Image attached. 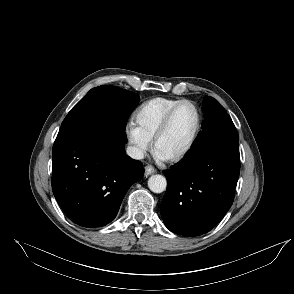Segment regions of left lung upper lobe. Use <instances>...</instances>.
Returning <instances> with one entry per match:
<instances>
[{"mask_svg":"<svg viewBox=\"0 0 294 294\" xmlns=\"http://www.w3.org/2000/svg\"><path fill=\"white\" fill-rule=\"evenodd\" d=\"M202 111L206 120L202 130L222 126H234L231 117L227 114L223 106L213 97H206L203 101Z\"/></svg>","mask_w":294,"mask_h":294,"instance_id":"obj_1","label":"left lung upper lobe"}]
</instances>
